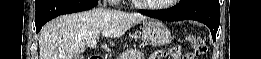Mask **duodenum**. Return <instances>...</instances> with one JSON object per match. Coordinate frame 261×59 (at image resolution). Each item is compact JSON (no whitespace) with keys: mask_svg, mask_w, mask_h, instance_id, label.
I'll use <instances>...</instances> for the list:
<instances>
[{"mask_svg":"<svg viewBox=\"0 0 261 59\" xmlns=\"http://www.w3.org/2000/svg\"><path fill=\"white\" fill-rule=\"evenodd\" d=\"M89 59H104L103 56H90Z\"/></svg>","mask_w":261,"mask_h":59,"instance_id":"duodenum-1","label":"duodenum"}]
</instances>
